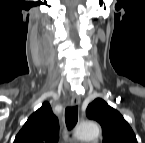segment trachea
Returning a JSON list of instances; mask_svg holds the SVG:
<instances>
[{
	"label": "trachea",
	"instance_id": "trachea-1",
	"mask_svg": "<svg viewBox=\"0 0 145 143\" xmlns=\"http://www.w3.org/2000/svg\"><path fill=\"white\" fill-rule=\"evenodd\" d=\"M78 121V106L68 107L65 110V122L68 130L74 128Z\"/></svg>",
	"mask_w": 145,
	"mask_h": 143
}]
</instances>
